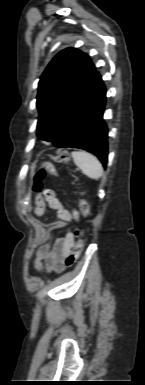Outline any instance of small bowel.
Instances as JSON below:
<instances>
[{"instance_id": "c3829d8e", "label": "small bowel", "mask_w": 145, "mask_h": 385, "mask_svg": "<svg viewBox=\"0 0 145 385\" xmlns=\"http://www.w3.org/2000/svg\"><path fill=\"white\" fill-rule=\"evenodd\" d=\"M46 205H49L57 214L58 220L52 223L54 228L65 227L78 219V215L69 211L51 189L45 190L42 195L36 197L35 214L42 216L45 213ZM74 245V237L70 231L63 236L50 237L49 241L38 249L34 269L38 272H62L70 265L68 258Z\"/></svg>"}]
</instances>
